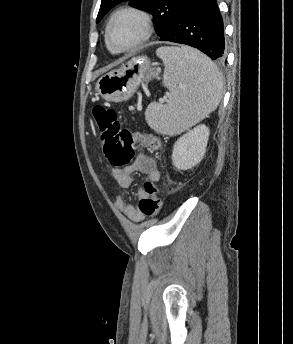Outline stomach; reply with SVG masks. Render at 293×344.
Returning a JSON list of instances; mask_svg holds the SVG:
<instances>
[{"label":"stomach","mask_w":293,"mask_h":344,"mask_svg":"<svg viewBox=\"0 0 293 344\" xmlns=\"http://www.w3.org/2000/svg\"><path fill=\"white\" fill-rule=\"evenodd\" d=\"M159 71L147 58L135 57L119 69L101 76L96 82V90L108 101H126L141 83L157 77Z\"/></svg>","instance_id":"0dacf381"}]
</instances>
